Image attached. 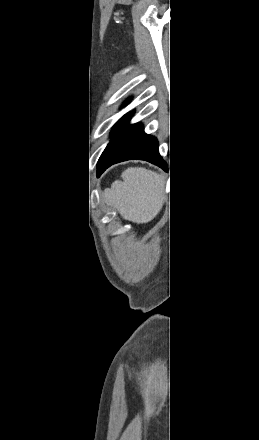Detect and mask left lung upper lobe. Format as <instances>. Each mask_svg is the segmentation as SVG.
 Masks as SVG:
<instances>
[{
  "label": "left lung upper lobe",
  "instance_id": "left-lung-upper-lobe-1",
  "mask_svg": "<svg viewBox=\"0 0 259 440\" xmlns=\"http://www.w3.org/2000/svg\"><path fill=\"white\" fill-rule=\"evenodd\" d=\"M128 101H126V103H127ZM128 114H126V115H124L117 123H116V125L114 126V128H113V131H112V134L116 131V129L118 128V126L120 125V123L123 121V119L127 116Z\"/></svg>",
  "mask_w": 259,
  "mask_h": 440
}]
</instances>
